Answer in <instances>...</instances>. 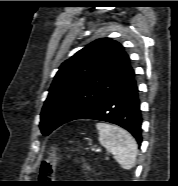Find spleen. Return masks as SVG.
I'll use <instances>...</instances> for the list:
<instances>
[{
	"label": "spleen",
	"mask_w": 178,
	"mask_h": 186,
	"mask_svg": "<svg viewBox=\"0 0 178 186\" xmlns=\"http://www.w3.org/2000/svg\"><path fill=\"white\" fill-rule=\"evenodd\" d=\"M99 142L113 155L115 161L125 170L136 164L137 143L126 130L107 123H97Z\"/></svg>",
	"instance_id": "3e777b00"
}]
</instances>
